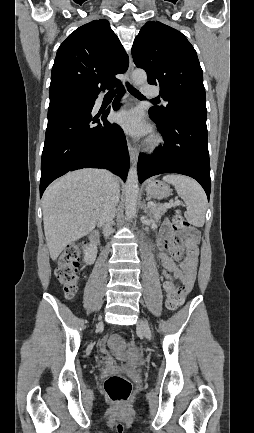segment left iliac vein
<instances>
[{"mask_svg":"<svg viewBox=\"0 0 254 433\" xmlns=\"http://www.w3.org/2000/svg\"><path fill=\"white\" fill-rule=\"evenodd\" d=\"M137 326L144 333L145 337L150 340L152 337V334H151V330H150L148 324L143 320H139Z\"/></svg>","mask_w":254,"mask_h":433,"instance_id":"obj_1","label":"left iliac vein"}]
</instances>
